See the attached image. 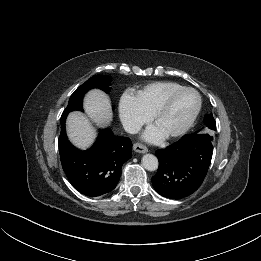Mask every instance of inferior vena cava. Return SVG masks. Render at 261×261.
I'll return each instance as SVG.
<instances>
[{
	"mask_svg": "<svg viewBox=\"0 0 261 261\" xmlns=\"http://www.w3.org/2000/svg\"><path fill=\"white\" fill-rule=\"evenodd\" d=\"M123 128L126 132L131 133V134H135L138 133L141 129V126L139 124L136 123H132V122H126L123 124Z\"/></svg>",
	"mask_w": 261,
	"mask_h": 261,
	"instance_id": "602c4592",
	"label": "inferior vena cava"
}]
</instances>
